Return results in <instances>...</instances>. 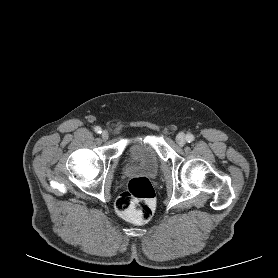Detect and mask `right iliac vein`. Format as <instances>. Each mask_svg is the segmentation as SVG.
<instances>
[{
	"mask_svg": "<svg viewBox=\"0 0 278 278\" xmlns=\"http://www.w3.org/2000/svg\"><path fill=\"white\" fill-rule=\"evenodd\" d=\"M101 137H102L103 140H107L109 138L108 131L104 130L101 134Z\"/></svg>",
	"mask_w": 278,
	"mask_h": 278,
	"instance_id": "63e3f726",
	"label": "right iliac vein"
}]
</instances>
